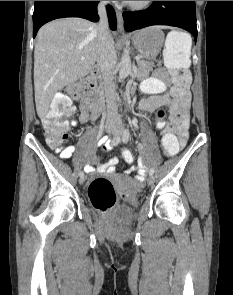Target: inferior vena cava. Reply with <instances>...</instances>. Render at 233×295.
Here are the masks:
<instances>
[{"instance_id":"inferior-vena-cava-1","label":"inferior vena cava","mask_w":233,"mask_h":295,"mask_svg":"<svg viewBox=\"0 0 233 295\" xmlns=\"http://www.w3.org/2000/svg\"><path fill=\"white\" fill-rule=\"evenodd\" d=\"M108 1H101L98 5L100 22L97 65L102 76V86L106 97L108 117L118 118L116 106V87L114 83V69L116 64V52L114 41L109 32L108 19L105 5Z\"/></svg>"}]
</instances>
